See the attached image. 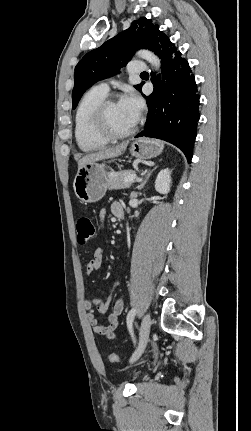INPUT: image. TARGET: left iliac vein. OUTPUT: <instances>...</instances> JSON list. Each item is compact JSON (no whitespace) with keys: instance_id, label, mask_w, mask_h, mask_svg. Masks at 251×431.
<instances>
[{"instance_id":"left-iliac-vein-1","label":"left iliac vein","mask_w":251,"mask_h":431,"mask_svg":"<svg viewBox=\"0 0 251 431\" xmlns=\"http://www.w3.org/2000/svg\"><path fill=\"white\" fill-rule=\"evenodd\" d=\"M150 327H151V318H150L149 314H146L143 317L141 327H140L139 345H138V348L135 351L133 357L131 358V362L136 361L141 356V354L143 353V351L147 345V342H148Z\"/></svg>"}]
</instances>
